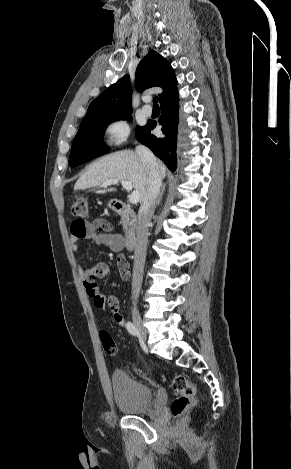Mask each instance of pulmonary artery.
Instances as JSON below:
<instances>
[{"instance_id":"obj_1","label":"pulmonary artery","mask_w":291,"mask_h":469,"mask_svg":"<svg viewBox=\"0 0 291 469\" xmlns=\"http://www.w3.org/2000/svg\"><path fill=\"white\" fill-rule=\"evenodd\" d=\"M142 111L145 115H151L152 114V108L148 104H146L142 107Z\"/></svg>"}]
</instances>
